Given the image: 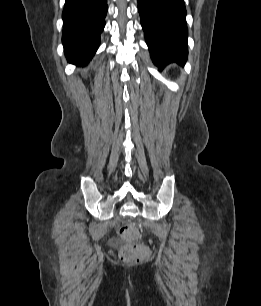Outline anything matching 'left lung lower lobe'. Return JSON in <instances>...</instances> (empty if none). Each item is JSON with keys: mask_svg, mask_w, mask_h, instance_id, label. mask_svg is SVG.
<instances>
[{"mask_svg": "<svg viewBox=\"0 0 261 306\" xmlns=\"http://www.w3.org/2000/svg\"><path fill=\"white\" fill-rule=\"evenodd\" d=\"M141 25L155 65L187 59V25L184 0H137Z\"/></svg>", "mask_w": 261, "mask_h": 306, "instance_id": "left-lung-lower-lobe-1", "label": "left lung lower lobe"}]
</instances>
